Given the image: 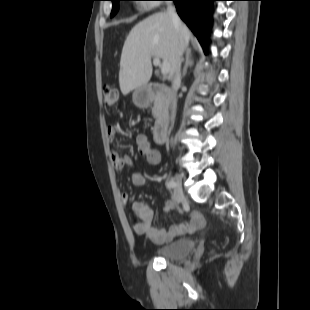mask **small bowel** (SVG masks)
<instances>
[{"instance_id":"small-bowel-1","label":"small bowel","mask_w":310,"mask_h":310,"mask_svg":"<svg viewBox=\"0 0 310 310\" xmlns=\"http://www.w3.org/2000/svg\"><path fill=\"white\" fill-rule=\"evenodd\" d=\"M107 135L110 142H114L118 135V130L115 126H109L107 129ZM135 143L140 155L144 156L149 164L157 165L161 162L160 152L153 148L148 137L144 134H140L136 137ZM111 161L113 168L116 171H121L123 168L132 166L133 161L127 155H121L117 150H113L111 153ZM132 184L134 186H142L147 181H157L155 177H145L141 173H134L131 177ZM122 201L129 205L130 211L136 218L133 225V231L137 235L147 237L150 241L156 244H162L170 242L175 238L183 234L194 233L205 224L204 216L201 212H194L188 221H184L178 224H172L169 228L154 227L153 210L144 202H131L130 195L126 192L121 195ZM176 205L175 200L171 199L165 203L164 210L166 212L172 210Z\"/></svg>"}]
</instances>
